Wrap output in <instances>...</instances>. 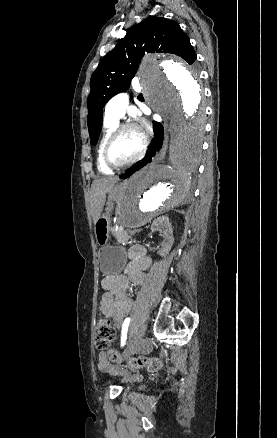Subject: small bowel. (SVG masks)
<instances>
[{
    "mask_svg": "<svg viewBox=\"0 0 277 438\" xmlns=\"http://www.w3.org/2000/svg\"><path fill=\"white\" fill-rule=\"evenodd\" d=\"M129 262L123 274H108L101 280L104 293L100 299L99 310L107 318L113 320L120 329L125 317L130 313L133 301L128 291L139 286L145 279V271L150 267L152 260L142 246L134 245L128 251ZM108 353L101 352L98 356L97 367L100 371L119 376L124 380L131 378L125 368H116Z\"/></svg>",
    "mask_w": 277,
    "mask_h": 438,
    "instance_id": "c3829d8e",
    "label": "small bowel"
}]
</instances>
